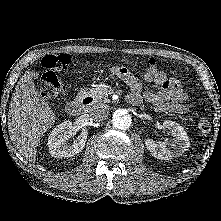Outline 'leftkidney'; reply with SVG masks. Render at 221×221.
Wrapping results in <instances>:
<instances>
[{
  "instance_id": "5707ae66",
  "label": "left kidney",
  "mask_w": 221,
  "mask_h": 221,
  "mask_svg": "<svg viewBox=\"0 0 221 221\" xmlns=\"http://www.w3.org/2000/svg\"><path fill=\"white\" fill-rule=\"evenodd\" d=\"M163 127L169 130L172 136L170 139L163 142H156L152 139L145 140L146 147L153 157L160 160H171L188 150L190 142L182 126L174 121H165Z\"/></svg>"
}]
</instances>
